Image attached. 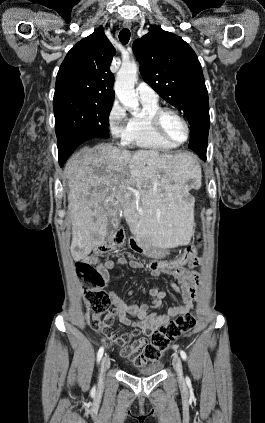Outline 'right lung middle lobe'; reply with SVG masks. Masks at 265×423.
Listing matches in <instances>:
<instances>
[{"mask_svg":"<svg viewBox=\"0 0 265 423\" xmlns=\"http://www.w3.org/2000/svg\"><path fill=\"white\" fill-rule=\"evenodd\" d=\"M53 106L61 166L72 154L59 143L68 134L82 133L92 136V138H109L108 122L112 108L111 103L83 98H62L54 100Z\"/></svg>","mask_w":265,"mask_h":423,"instance_id":"obj_1","label":"right lung middle lobe"}]
</instances>
